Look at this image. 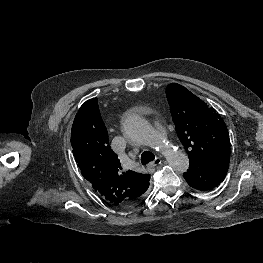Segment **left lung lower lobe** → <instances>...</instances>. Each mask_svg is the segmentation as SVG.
<instances>
[{
  "label": "left lung lower lobe",
  "mask_w": 263,
  "mask_h": 263,
  "mask_svg": "<svg viewBox=\"0 0 263 263\" xmlns=\"http://www.w3.org/2000/svg\"><path fill=\"white\" fill-rule=\"evenodd\" d=\"M229 165L221 164L216 166H198L190 164L189 169L185 172L184 178L187 183L198 190H212L224 180Z\"/></svg>",
  "instance_id": "1"
}]
</instances>
